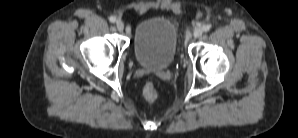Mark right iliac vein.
<instances>
[{
	"instance_id": "obj_1",
	"label": "right iliac vein",
	"mask_w": 298,
	"mask_h": 138,
	"mask_svg": "<svg viewBox=\"0 0 298 138\" xmlns=\"http://www.w3.org/2000/svg\"><path fill=\"white\" fill-rule=\"evenodd\" d=\"M124 27H125V25H124L123 21H121V20H117L116 21V28L119 31H123L124 30Z\"/></svg>"
}]
</instances>
